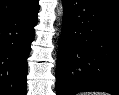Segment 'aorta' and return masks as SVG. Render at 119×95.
I'll return each mask as SVG.
<instances>
[{"mask_svg": "<svg viewBox=\"0 0 119 95\" xmlns=\"http://www.w3.org/2000/svg\"><path fill=\"white\" fill-rule=\"evenodd\" d=\"M63 12L64 10H63L62 4H58L56 13H57V19H58L59 25H60V20H62V17H63Z\"/></svg>", "mask_w": 119, "mask_h": 95, "instance_id": "762f6f07", "label": "aorta"}]
</instances>
